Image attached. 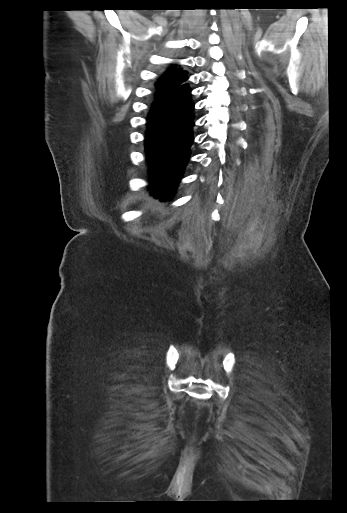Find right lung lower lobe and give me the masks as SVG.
I'll use <instances>...</instances> for the list:
<instances>
[{"instance_id":"right-lung-lower-lobe-1","label":"right lung lower lobe","mask_w":347,"mask_h":513,"mask_svg":"<svg viewBox=\"0 0 347 513\" xmlns=\"http://www.w3.org/2000/svg\"><path fill=\"white\" fill-rule=\"evenodd\" d=\"M193 110L191 89L187 84L165 96L157 95L150 109L146 153L151 189L161 200L171 197L189 159Z\"/></svg>"}]
</instances>
